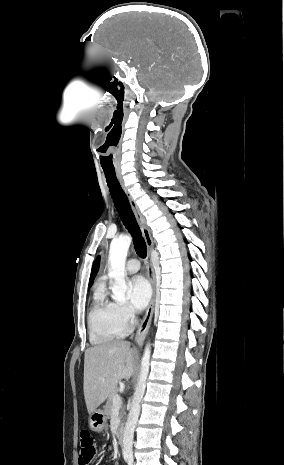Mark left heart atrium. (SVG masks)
<instances>
[{
  "label": "left heart atrium",
  "instance_id": "obj_1",
  "mask_svg": "<svg viewBox=\"0 0 284 465\" xmlns=\"http://www.w3.org/2000/svg\"><path fill=\"white\" fill-rule=\"evenodd\" d=\"M130 309L135 312L144 310L151 297V289L147 280L142 276H136L129 281Z\"/></svg>",
  "mask_w": 284,
  "mask_h": 465
}]
</instances>
